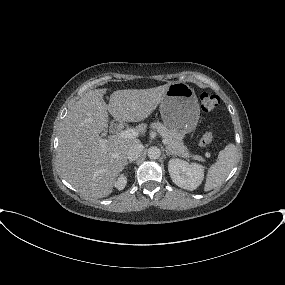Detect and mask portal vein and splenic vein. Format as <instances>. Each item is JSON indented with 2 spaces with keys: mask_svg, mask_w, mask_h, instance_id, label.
Masks as SVG:
<instances>
[{
  "mask_svg": "<svg viewBox=\"0 0 285 285\" xmlns=\"http://www.w3.org/2000/svg\"><path fill=\"white\" fill-rule=\"evenodd\" d=\"M139 133L135 129L129 128L126 130H122L119 133H117V137L123 138V139H134L138 137ZM163 143L167 145V140L164 138Z\"/></svg>",
  "mask_w": 285,
  "mask_h": 285,
  "instance_id": "18ae733b",
  "label": "portal vein and splenic vein"
}]
</instances>
